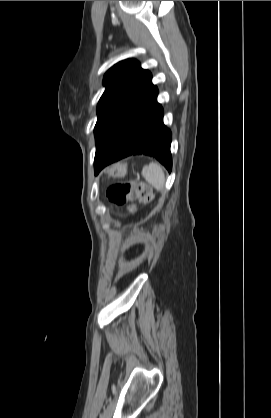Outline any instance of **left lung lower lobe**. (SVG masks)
<instances>
[{
	"label": "left lung lower lobe",
	"instance_id": "0a47b994",
	"mask_svg": "<svg viewBox=\"0 0 271 418\" xmlns=\"http://www.w3.org/2000/svg\"><path fill=\"white\" fill-rule=\"evenodd\" d=\"M157 95L158 89L153 87L105 139L95 154V174L110 163L136 154L152 156L171 171L172 136L163 124Z\"/></svg>",
	"mask_w": 271,
	"mask_h": 418
}]
</instances>
